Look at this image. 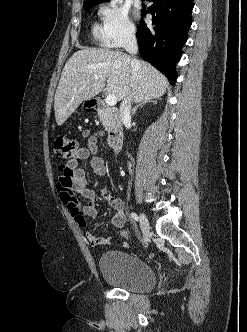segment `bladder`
Listing matches in <instances>:
<instances>
[{
	"label": "bladder",
	"mask_w": 247,
	"mask_h": 332,
	"mask_svg": "<svg viewBox=\"0 0 247 332\" xmlns=\"http://www.w3.org/2000/svg\"><path fill=\"white\" fill-rule=\"evenodd\" d=\"M99 270L107 283L130 292H146L156 284L152 267L137 255L122 250L102 253Z\"/></svg>",
	"instance_id": "1"
}]
</instances>
